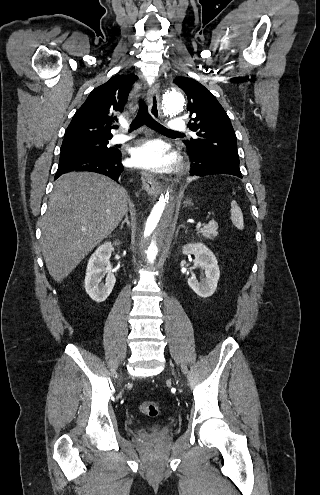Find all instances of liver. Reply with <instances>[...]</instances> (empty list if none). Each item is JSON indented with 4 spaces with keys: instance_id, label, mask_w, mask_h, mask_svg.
Instances as JSON below:
<instances>
[{
    "instance_id": "obj_1",
    "label": "liver",
    "mask_w": 320,
    "mask_h": 495,
    "mask_svg": "<svg viewBox=\"0 0 320 495\" xmlns=\"http://www.w3.org/2000/svg\"><path fill=\"white\" fill-rule=\"evenodd\" d=\"M127 212L126 191L109 178L87 172L61 175L42 219L41 249L51 277L63 281Z\"/></svg>"
}]
</instances>
